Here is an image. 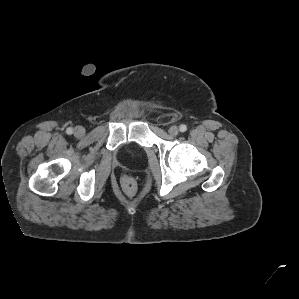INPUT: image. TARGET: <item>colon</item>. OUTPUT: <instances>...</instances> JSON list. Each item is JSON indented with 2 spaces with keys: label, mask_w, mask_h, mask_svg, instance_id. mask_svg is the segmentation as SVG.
<instances>
[{
  "label": "colon",
  "mask_w": 299,
  "mask_h": 299,
  "mask_svg": "<svg viewBox=\"0 0 299 299\" xmlns=\"http://www.w3.org/2000/svg\"><path fill=\"white\" fill-rule=\"evenodd\" d=\"M121 186L125 192L129 195H133L136 192L137 185L133 176L130 174H124L120 180Z\"/></svg>",
  "instance_id": "1"
}]
</instances>
